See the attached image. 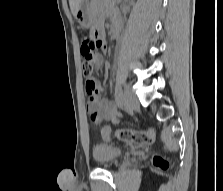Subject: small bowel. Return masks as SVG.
Masks as SVG:
<instances>
[{
	"instance_id": "obj_1",
	"label": "small bowel",
	"mask_w": 223,
	"mask_h": 191,
	"mask_svg": "<svg viewBox=\"0 0 223 191\" xmlns=\"http://www.w3.org/2000/svg\"><path fill=\"white\" fill-rule=\"evenodd\" d=\"M117 29H121L120 24L117 23ZM93 35L101 41V47L104 38V30L102 24H98L95 26L93 30ZM102 64L101 59L97 60V67L99 68ZM95 87L91 88L86 81L85 91L88 96L87 102V112L90 114L92 121L100 125L103 121H110L112 123H118L121 114L116 106V104L112 101L106 100L101 96L102 86L100 82L92 79Z\"/></svg>"
}]
</instances>
